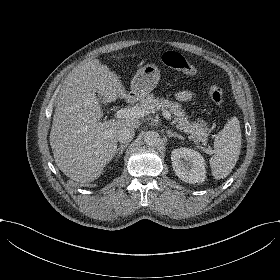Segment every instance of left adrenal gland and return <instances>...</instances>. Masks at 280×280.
I'll return each instance as SVG.
<instances>
[{"label": "left adrenal gland", "mask_w": 280, "mask_h": 280, "mask_svg": "<svg viewBox=\"0 0 280 280\" xmlns=\"http://www.w3.org/2000/svg\"><path fill=\"white\" fill-rule=\"evenodd\" d=\"M166 132H167V136H168L169 138H171V137H176V138L181 139V140L184 139V137L181 136V135H179L177 132H172L171 130H167Z\"/></svg>", "instance_id": "left-adrenal-gland-1"}]
</instances>
